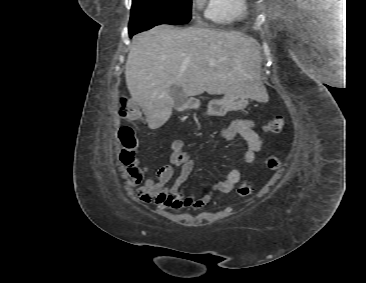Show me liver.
<instances>
[{"mask_svg":"<svg viewBox=\"0 0 366 283\" xmlns=\"http://www.w3.org/2000/svg\"><path fill=\"white\" fill-rule=\"evenodd\" d=\"M257 42L234 31L159 25L133 38L125 78L132 98L157 129L175 105L170 88L185 98L207 92L238 93L262 101Z\"/></svg>","mask_w":366,"mask_h":283,"instance_id":"1","label":"liver"}]
</instances>
